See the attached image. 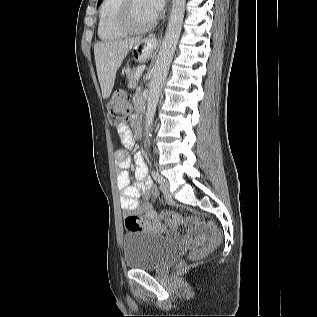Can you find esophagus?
Here are the masks:
<instances>
[{"mask_svg":"<svg viewBox=\"0 0 317 317\" xmlns=\"http://www.w3.org/2000/svg\"><path fill=\"white\" fill-rule=\"evenodd\" d=\"M147 41H155L156 40V37L155 35H149L147 38H146Z\"/></svg>","mask_w":317,"mask_h":317,"instance_id":"1","label":"esophagus"}]
</instances>
